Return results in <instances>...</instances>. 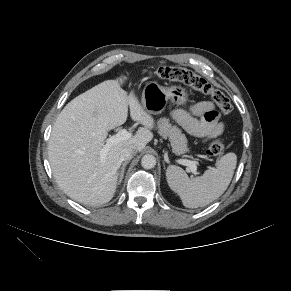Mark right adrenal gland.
Returning a JSON list of instances; mask_svg holds the SVG:
<instances>
[{
  "instance_id": "obj_1",
  "label": "right adrenal gland",
  "mask_w": 291,
  "mask_h": 291,
  "mask_svg": "<svg viewBox=\"0 0 291 291\" xmlns=\"http://www.w3.org/2000/svg\"><path fill=\"white\" fill-rule=\"evenodd\" d=\"M128 163H129V160L125 161V162L122 164V166H121V168H120V170H119V172H118V178H119L118 184H120V183L122 182V179H123V176H124V172H125V167H126V165H127Z\"/></svg>"
}]
</instances>
